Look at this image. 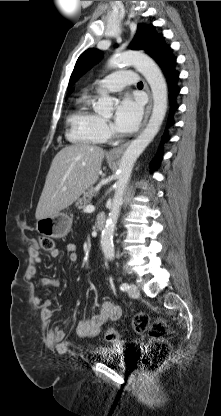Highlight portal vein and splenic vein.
<instances>
[{"instance_id": "obj_1", "label": "portal vein and splenic vein", "mask_w": 221, "mask_h": 416, "mask_svg": "<svg viewBox=\"0 0 221 416\" xmlns=\"http://www.w3.org/2000/svg\"><path fill=\"white\" fill-rule=\"evenodd\" d=\"M95 210V207L93 206V205H87L86 207H85V211L86 212H92V211H94Z\"/></svg>"}]
</instances>
